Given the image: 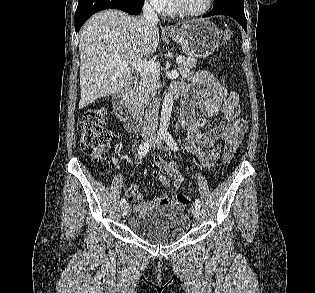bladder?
<instances>
[{
    "label": "bladder",
    "instance_id": "obj_1",
    "mask_svg": "<svg viewBox=\"0 0 315 293\" xmlns=\"http://www.w3.org/2000/svg\"><path fill=\"white\" fill-rule=\"evenodd\" d=\"M190 226L189 216L180 207L173 205L145 209L129 220V228L136 236L159 245L182 239Z\"/></svg>",
    "mask_w": 315,
    "mask_h": 293
}]
</instances>
